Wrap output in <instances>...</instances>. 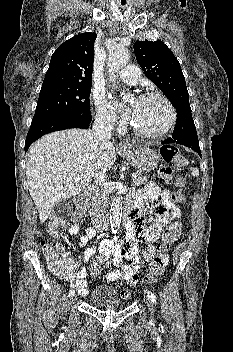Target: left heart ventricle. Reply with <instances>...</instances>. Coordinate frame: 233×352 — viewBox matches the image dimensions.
Masks as SVG:
<instances>
[{
  "mask_svg": "<svg viewBox=\"0 0 233 352\" xmlns=\"http://www.w3.org/2000/svg\"><path fill=\"white\" fill-rule=\"evenodd\" d=\"M131 122L138 129L155 133L165 128L170 119L166 104L157 98L135 100L131 103Z\"/></svg>",
  "mask_w": 233,
  "mask_h": 352,
  "instance_id": "b2bd125f",
  "label": "left heart ventricle"
}]
</instances>
